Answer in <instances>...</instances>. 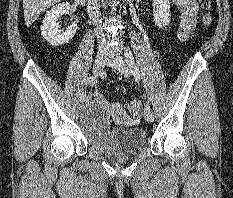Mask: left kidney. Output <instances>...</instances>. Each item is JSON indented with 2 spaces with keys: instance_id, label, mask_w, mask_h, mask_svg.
Listing matches in <instances>:
<instances>
[{
  "instance_id": "obj_1",
  "label": "left kidney",
  "mask_w": 233,
  "mask_h": 198,
  "mask_svg": "<svg viewBox=\"0 0 233 198\" xmlns=\"http://www.w3.org/2000/svg\"><path fill=\"white\" fill-rule=\"evenodd\" d=\"M154 22L157 27L162 28L170 23L169 0H152Z\"/></svg>"
}]
</instances>
